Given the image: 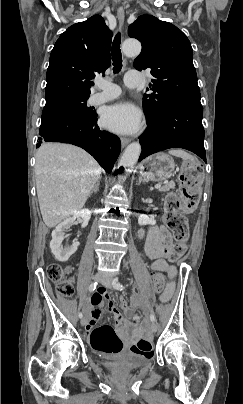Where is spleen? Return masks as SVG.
Returning <instances> with one entry per match:
<instances>
[{"label":"spleen","instance_id":"obj_1","mask_svg":"<svg viewBox=\"0 0 243 404\" xmlns=\"http://www.w3.org/2000/svg\"><path fill=\"white\" fill-rule=\"evenodd\" d=\"M168 154H171V156H177V158H184V160H193L192 156L187 154V152H184V150H170Z\"/></svg>","mask_w":243,"mask_h":404}]
</instances>
